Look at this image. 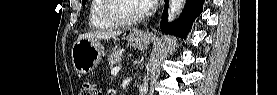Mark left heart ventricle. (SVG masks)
I'll return each mask as SVG.
<instances>
[{
    "label": "left heart ventricle",
    "instance_id": "1",
    "mask_svg": "<svg viewBox=\"0 0 277 95\" xmlns=\"http://www.w3.org/2000/svg\"><path fill=\"white\" fill-rule=\"evenodd\" d=\"M144 8L140 0H122L118 2L115 11L123 17L134 18L139 16Z\"/></svg>",
    "mask_w": 277,
    "mask_h": 95
}]
</instances>
